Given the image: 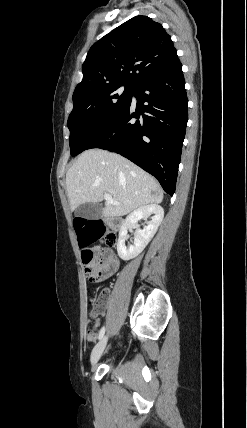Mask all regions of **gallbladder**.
<instances>
[{
  "mask_svg": "<svg viewBox=\"0 0 247 428\" xmlns=\"http://www.w3.org/2000/svg\"><path fill=\"white\" fill-rule=\"evenodd\" d=\"M103 205L101 203H84L77 207L75 214L87 220H97L102 216Z\"/></svg>",
  "mask_w": 247,
  "mask_h": 428,
  "instance_id": "gallbladder-1",
  "label": "gallbladder"
}]
</instances>
